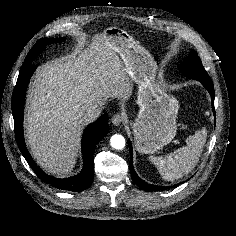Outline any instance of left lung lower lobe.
<instances>
[{
  "instance_id": "left-lung-lower-lobe-1",
  "label": "left lung lower lobe",
  "mask_w": 236,
  "mask_h": 236,
  "mask_svg": "<svg viewBox=\"0 0 236 236\" xmlns=\"http://www.w3.org/2000/svg\"><path fill=\"white\" fill-rule=\"evenodd\" d=\"M195 79L200 81L203 84V86L209 91V93L211 95V98H212L213 111H214V114H215V109H214V86H213L211 78L209 77V78H195ZM214 122H216V119L214 120ZM128 144H129V149H130V153H131V159H130L129 167H130V172H131L133 181L140 188H142L146 191H158V190L165 189L166 187H163V186H156V185L148 184V183H146L145 181H143L142 179H140L137 176V174H136V172L133 168V162H132L133 150H132V145H131L130 140H128ZM177 185L170 186L169 188L175 187Z\"/></svg>"
}]
</instances>
